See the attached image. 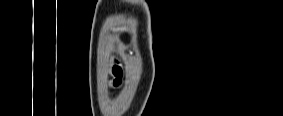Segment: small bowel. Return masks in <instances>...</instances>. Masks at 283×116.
I'll use <instances>...</instances> for the list:
<instances>
[{
    "mask_svg": "<svg viewBox=\"0 0 283 116\" xmlns=\"http://www.w3.org/2000/svg\"><path fill=\"white\" fill-rule=\"evenodd\" d=\"M117 63L120 64V61L117 60ZM115 71L117 75H121L122 74V70L120 66H116L115 67Z\"/></svg>",
    "mask_w": 283,
    "mask_h": 116,
    "instance_id": "1",
    "label": "small bowel"
}]
</instances>
